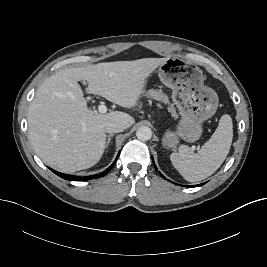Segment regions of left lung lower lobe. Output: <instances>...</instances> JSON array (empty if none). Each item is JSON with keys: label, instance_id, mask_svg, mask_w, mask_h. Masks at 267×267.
<instances>
[{"label": "left lung lower lobe", "instance_id": "1", "mask_svg": "<svg viewBox=\"0 0 267 267\" xmlns=\"http://www.w3.org/2000/svg\"><path fill=\"white\" fill-rule=\"evenodd\" d=\"M153 163H154V161H153ZM163 178H164V176H162ZM200 185H203V184H200ZM200 185H195L194 187H196V186H200Z\"/></svg>", "mask_w": 267, "mask_h": 267}]
</instances>
